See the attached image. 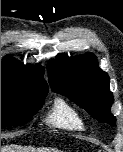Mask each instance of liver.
I'll return each mask as SVG.
<instances>
[{
    "label": "liver",
    "instance_id": "6515ba94",
    "mask_svg": "<svg viewBox=\"0 0 123 152\" xmlns=\"http://www.w3.org/2000/svg\"><path fill=\"white\" fill-rule=\"evenodd\" d=\"M1 152H58L56 149H35L32 147H21L18 145H9L1 147Z\"/></svg>",
    "mask_w": 123,
    "mask_h": 152
}]
</instances>
